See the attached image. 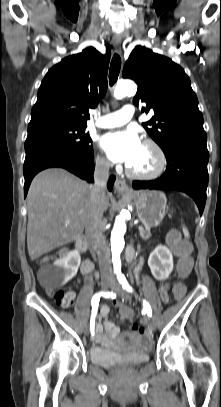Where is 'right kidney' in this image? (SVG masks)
<instances>
[{"mask_svg": "<svg viewBox=\"0 0 221 407\" xmlns=\"http://www.w3.org/2000/svg\"><path fill=\"white\" fill-rule=\"evenodd\" d=\"M81 263V257L77 250L69 252L54 262L55 281L58 285L63 286L71 280L78 271Z\"/></svg>", "mask_w": 221, "mask_h": 407, "instance_id": "ca27d5eb", "label": "right kidney"}]
</instances>
